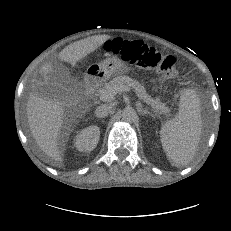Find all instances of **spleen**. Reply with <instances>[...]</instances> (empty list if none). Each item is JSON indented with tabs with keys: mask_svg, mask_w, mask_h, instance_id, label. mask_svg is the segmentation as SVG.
I'll use <instances>...</instances> for the list:
<instances>
[{
	"mask_svg": "<svg viewBox=\"0 0 231 231\" xmlns=\"http://www.w3.org/2000/svg\"><path fill=\"white\" fill-rule=\"evenodd\" d=\"M202 131L200 101L193 90L180 97L178 115L160 130L162 147L174 166L187 165L197 151Z\"/></svg>",
	"mask_w": 231,
	"mask_h": 231,
	"instance_id": "3e777b00",
	"label": "spleen"
}]
</instances>
